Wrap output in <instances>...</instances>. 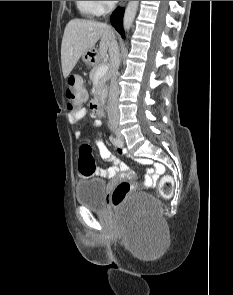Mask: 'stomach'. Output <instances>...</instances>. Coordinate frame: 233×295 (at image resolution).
I'll use <instances>...</instances> for the list:
<instances>
[{"mask_svg":"<svg viewBox=\"0 0 233 295\" xmlns=\"http://www.w3.org/2000/svg\"><path fill=\"white\" fill-rule=\"evenodd\" d=\"M89 53H91L90 50L86 51L83 55H82V58L84 60V62L88 65L91 64V61H92V56L89 55Z\"/></svg>","mask_w":233,"mask_h":295,"instance_id":"0dacf381","label":"stomach"}]
</instances>
